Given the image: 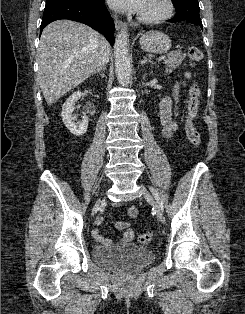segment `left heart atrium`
<instances>
[{"instance_id": "1", "label": "left heart atrium", "mask_w": 245, "mask_h": 314, "mask_svg": "<svg viewBox=\"0 0 245 314\" xmlns=\"http://www.w3.org/2000/svg\"><path fill=\"white\" fill-rule=\"evenodd\" d=\"M107 2L116 10L140 14L147 0H107Z\"/></svg>"}]
</instances>
